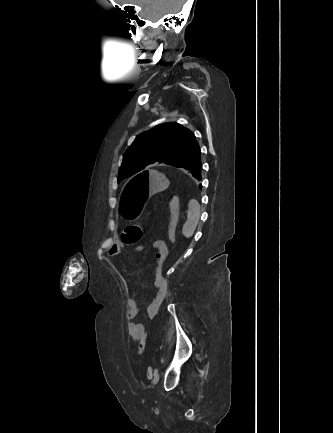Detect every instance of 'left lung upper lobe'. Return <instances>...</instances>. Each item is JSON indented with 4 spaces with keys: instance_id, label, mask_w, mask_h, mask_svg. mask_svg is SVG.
Segmentation results:
<instances>
[{
    "instance_id": "left-lung-upper-lobe-1",
    "label": "left lung upper lobe",
    "mask_w": 333,
    "mask_h": 433,
    "mask_svg": "<svg viewBox=\"0 0 333 433\" xmlns=\"http://www.w3.org/2000/svg\"><path fill=\"white\" fill-rule=\"evenodd\" d=\"M195 135L178 123H164L136 137L123 155L118 180L150 164L164 163L182 168L200 154Z\"/></svg>"
}]
</instances>
